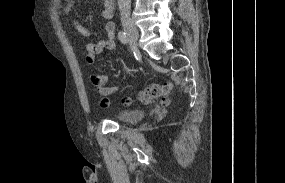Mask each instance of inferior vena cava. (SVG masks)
Wrapping results in <instances>:
<instances>
[{"mask_svg":"<svg viewBox=\"0 0 285 183\" xmlns=\"http://www.w3.org/2000/svg\"><path fill=\"white\" fill-rule=\"evenodd\" d=\"M118 6L122 17H129L131 0H118Z\"/></svg>","mask_w":285,"mask_h":183,"instance_id":"inferior-vena-cava-1","label":"inferior vena cava"}]
</instances>
